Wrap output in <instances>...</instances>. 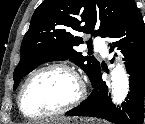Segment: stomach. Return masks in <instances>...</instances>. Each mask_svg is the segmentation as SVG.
Wrapping results in <instances>:
<instances>
[{"label": "stomach", "mask_w": 145, "mask_h": 124, "mask_svg": "<svg viewBox=\"0 0 145 124\" xmlns=\"http://www.w3.org/2000/svg\"><path fill=\"white\" fill-rule=\"evenodd\" d=\"M42 124H102V123H97L94 120L91 119H69V118H56V119H51L48 120Z\"/></svg>", "instance_id": "stomach-1"}]
</instances>
